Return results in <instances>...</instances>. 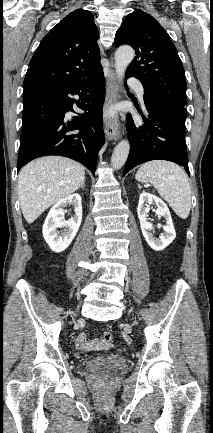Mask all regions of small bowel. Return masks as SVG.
Instances as JSON below:
<instances>
[{
	"instance_id": "c3829d8e",
	"label": "small bowel",
	"mask_w": 213,
	"mask_h": 433,
	"mask_svg": "<svg viewBox=\"0 0 213 433\" xmlns=\"http://www.w3.org/2000/svg\"><path fill=\"white\" fill-rule=\"evenodd\" d=\"M75 345L80 350H99L109 346L103 339H89L85 334H81L76 338Z\"/></svg>"
}]
</instances>
